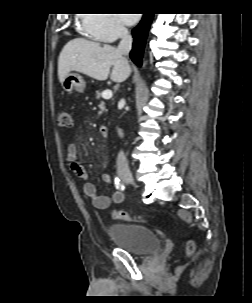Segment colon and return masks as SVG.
<instances>
[{"mask_svg":"<svg viewBox=\"0 0 252 303\" xmlns=\"http://www.w3.org/2000/svg\"><path fill=\"white\" fill-rule=\"evenodd\" d=\"M71 115L68 111H61L59 114V124L62 127H70L71 126ZM112 218L114 220H122V221H135V222H145L147 218L141 215H133L123 210H115L112 213ZM194 251V246L192 244H188L186 248V254L191 255Z\"/></svg>","mask_w":252,"mask_h":303,"instance_id":"5ec220e1","label":"colon"}]
</instances>
